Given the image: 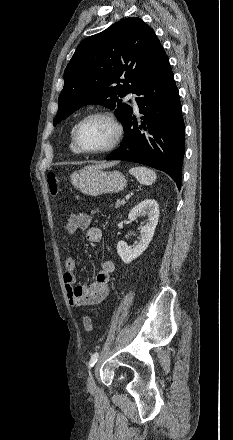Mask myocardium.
Listing matches in <instances>:
<instances>
[{
    "label": "myocardium",
    "instance_id": "1",
    "mask_svg": "<svg viewBox=\"0 0 233 440\" xmlns=\"http://www.w3.org/2000/svg\"><path fill=\"white\" fill-rule=\"evenodd\" d=\"M92 118H102L106 120L113 128L114 134L113 138L110 141V143L101 148L96 150H86L82 148L78 143V132L80 127L84 122H86L89 119ZM123 127L117 117L110 111L107 110H95L90 113H87L82 118L79 119V121L75 124L72 131V143L78 153L86 154V155H100V154H106L111 151H113L120 143L122 137H123Z\"/></svg>",
    "mask_w": 233,
    "mask_h": 440
}]
</instances>
